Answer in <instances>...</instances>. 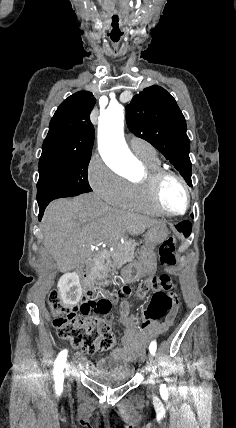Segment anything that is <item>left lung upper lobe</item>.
<instances>
[{"mask_svg": "<svg viewBox=\"0 0 236 428\" xmlns=\"http://www.w3.org/2000/svg\"><path fill=\"white\" fill-rule=\"evenodd\" d=\"M126 120L130 131L157 148L192 186L190 142L175 99L160 86L147 87L126 107Z\"/></svg>", "mask_w": 236, "mask_h": 428, "instance_id": "1", "label": "left lung upper lobe"}]
</instances>
